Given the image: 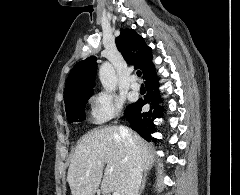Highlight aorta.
I'll return each instance as SVG.
<instances>
[{
    "instance_id": "762f6f07",
    "label": "aorta",
    "mask_w": 240,
    "mask_h": 195,
    "mask_svg": "<svg viewBox=\"0 0 240 195\" xmlns=\"http://www.w3.org/2000/svg\"><path fill=\"white\" fill-rule=\"evenodd\" d=\"M99 80L105 92H108V94H112V92L117 90L118 80L116 72L110 62H104V64H101L99 68Z\"/></svg>"
}]
</instances>
